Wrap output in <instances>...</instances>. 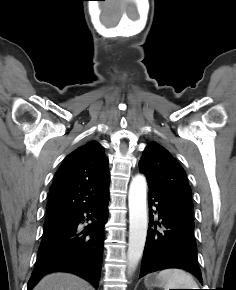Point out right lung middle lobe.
Here are the masks:
<instances>
[{
	"label": "right lung middle lobe",
	"instance_id": "right-lung-middle-lobe-1",
	"mask_svg": "<svg viewBox=\"0 0 236 290\" xmlns=\"http://www.w3.org/2000/svg\"><path fill=\"white\" fill-rule=\"evenodd\" d=\"M61 221H63V220H46L43 227L45 229V228H48V227H50L52 225H55V224H57V223H59Z\"/></svg>",
	"mask_w": 236,
	"mask_h": 290
}]
</instances>
